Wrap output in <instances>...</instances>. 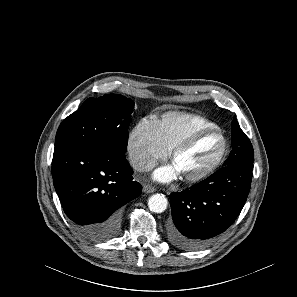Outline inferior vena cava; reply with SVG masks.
Wrapping results in <instances>:
<instances>
[{"instance_id":"602c4592","label":"inferior vena cava","mask_w":297,"mask_h":297,"mask_svg":"<svg viewBox=\"0 0 297 297\" xmlns=\"http://www.w3.org/2000/svg\"><path fill=\"white\" fill-rule=\"evenodd\" d=\"M132 167L138 172L150 171L154 168V163L147 159L132 160Z\"/></svg>"}]
</instances>
